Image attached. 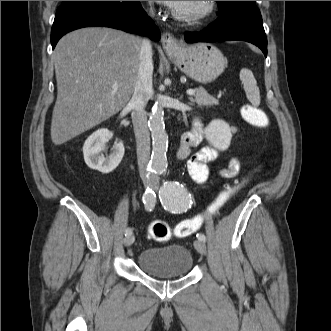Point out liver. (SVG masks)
Masks as SVG:
<instances>
[{"label": "liver", "mask_w": 331, "mask_h": 331, "mask_svg": "<svg viewBox=\"0 0 331 331\" xmlns=\"http://www.w3.org/2000/svg\"><path fill=\"white\" fill-rule=\"evenodd\" d=\"M142 39L111 28H82L54 50L57 100L51 139L61 145L118 113L138 76ZM113 84H118L114 90Z\"/></svg>", "instance_id": "obj_1"}]
</instances>
